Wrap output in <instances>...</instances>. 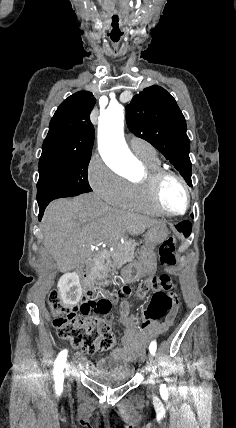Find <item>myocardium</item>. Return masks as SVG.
Here are the masks:
<instances>
[{
    "label": "myocardium",
    "instance_id": "f54148a6",
    "mask_svg": "<svg viewBox=\"0 0 236 428\" xmlns=\"http://www.w3.org/2000/svg\"><path fill=\"white\" fill-rule=\"evenodd\" d=\"M145 179L151 201L160 212L167 216H179L188 211L192 199L191 189L188 182L181 175L167 169H160L155 173L147 174ZM168 180L177 181L185 191L186 202L182 210L171 209L164 202L162 190Z\"/></svg>",
    "mask_w": 236,
    "mask_h": 428
}]
</instances>
